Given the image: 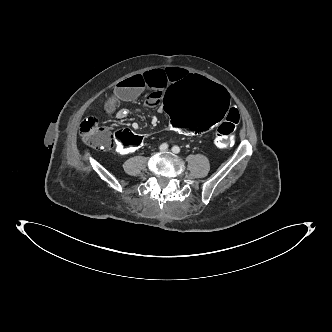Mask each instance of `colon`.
Listing matches in <instances>:
<instances>
[{
	"label": "colon",
	"instance_id": "obj_1",
	"mask_svg": "<svg viewBox=\"0 0 332 332\" xmlns=\"http://www.w3.org/2000/svg\"><path fill=\"white\" fill-rule=\"evenodd\" d=\"M235 101L225 86L199 74L179 79L167 91L164 110L172 133L198 134L218 126L215 143L218 147H229L235 141V125L238 113L234 112ZM82 141L91 147L110 149L114 136L94 117L85 118L79 127ZM120 151L134 153L141 146V139L134 132L122 134Z\"/></svg>",
	"mask_w": 332,
	"mask_h": 332
}]
</instances>
